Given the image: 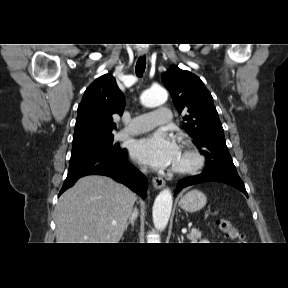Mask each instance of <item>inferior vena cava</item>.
Returning <instances> with one entry per match:
<instances>
[{"mask_svg":"<svg viewBox=\"0 0 288 288\" xmlns=\"http://www.w3.org/2000/svg\"><path fill=\"white\" fill-rule=\"evenodd\" d=\"M141 171H142L143 173H147V168L144 167V168L141 169Z\"/></svg>","mask_w":288,"mask_h":288,"instance_id":"1","label":"inferior vena cava"}]
</instances>
